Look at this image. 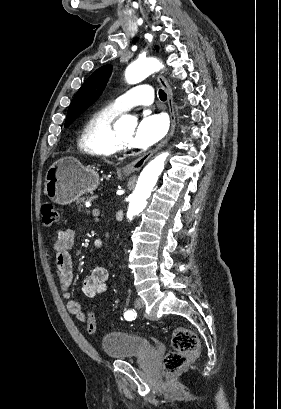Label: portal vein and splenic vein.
I'll list each match as a JSON object with an SVG mask.
<instances>
[{
    "label": "portal vein and splenic vein",
    "instance_id": "obj_1",
    "mask_svg": "<svg viewBox=\"0 0 281 409\" xmlns=\"http://www.w3.org/2000/svg\"><path fill=\"white\" fill-rule=\"evenodd\" d=\"M93 210H94L93 213H92L93 216H94L96 219H99V218L101 217V213H100L101 210H102L101 207L97 205V206L94 207Z\"/></svg>",
    "mask_w": 281,
    "mask_h": 409
}]
</instances>
